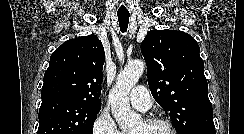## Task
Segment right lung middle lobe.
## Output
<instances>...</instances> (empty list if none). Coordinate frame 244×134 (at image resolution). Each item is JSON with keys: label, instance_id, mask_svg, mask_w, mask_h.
I'll use <instances>...</instances> for the list:
<instances>
[{"label": "right lung middle lobe", "instance_id": "right-lung-middle-lobe-1", "mask_svg": "<svg viewBox=\"0 0 244 134\" xmlns=\"http://www.w3.org/2000/svg\"><path fill=\"white\" fill-rule=\"evenodd\" d=\"M100 105H88L62 99L41 103L37 134H92Z\"/></svg>", "mask_w": 244, "mask_h": 134}]
</instances>
